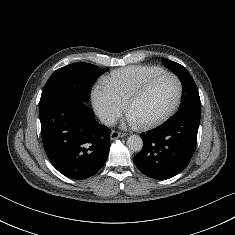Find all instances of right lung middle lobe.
I'll return each mask as SVG.
<instances>
[{
	"label": "right lung middle lobe",
	"instance_id": "obj_1",
	"mask_svg": "<svg viewBox=\"0 0 235 235\" xmlns=\"http://www.w3.org/2000/svg\"><path fill=\"white\" fill-rule=\"evenodd\" d=\"M106 71L89 63H74L57 69L43 88L39 107L60 98L86 103L96 79Z\"/></svg>",
	"mask_w": 235,
	"mask_h": 235
}]
</instances>
